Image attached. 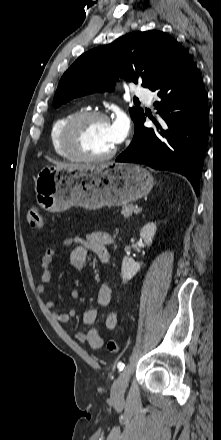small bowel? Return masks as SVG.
I'll use <instances>...</instances> for the list:
<instances>
[{"mask_svg":"<svg viewBox=\"0 0 221 440\" xmlns=\"http://www.w3.org/2000/svg\"><path fill=\"white\" fill-rule=\"evenodd\" d=\"M112 243V238L109 234L101 231L93 232L86 239L80 237L67 238L62 242V247L74 245V248L70 255V265L76 270H84L87 266L86 255L90 250L95 253L101 261L107 262L109 260L108 245ZM57 250L55 248H49L44 253L41 259V283L37 287L39 295L45 298V303L49 309H55L57 302L47 296V287L51 283V271L50 266L53 262V258L56 255ZM73 299L79 298V292L73 290L71 292ZM112 300V288L109 284H103L97 295L98 304L101 307H106ZM76 314L75 309H71L67 312H56L54 317L61 323H68L72 317ZM98 317L97 309H90L83 315V322L86 325L93 324ZM117 315L114 312H109L104 320V324L107 330H114L117 326ZM76 338L81 343L88 344L93 349H98L103 345V339L99 332L95 328H91L88 331H81L76 334Z\"/></svg>","mask_w":221,"mask_h":440,"instance_id":"c3829d8e","label":"small bowel"}]
</instances>
